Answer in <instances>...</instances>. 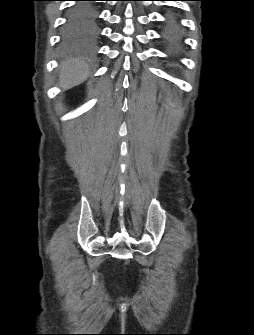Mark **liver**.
Instances as JSON below:
<instances>
[{
	"label": "liver",
	"instance_id": "liver-1",
	"mask_svg": "<svg viewBox=\"0 0 254 335\" xmlns=\"http://www.w3.org/2000/svg\"><path fill=\"white\" fill-rule=\"evenodd\" d=\"M90 74L89 66L81 60L71 59L62 62L60 66V86L69 89L79 85L88 78Z\"/></svg>",
	"mask_w": 254,
	"mask_h": 335
}]
</instances>
